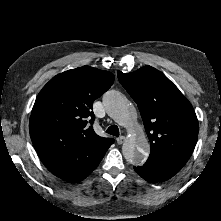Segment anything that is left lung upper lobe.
Returning <instances> with one entry per match:
<instances>
[{"label": "left lung upper lobe", "mask_w": 221, "mask_h": 221, "mask_svg": "<svg viewBox=\"0 0 221 221\" xmlns=\"http://www.w3.org/2000/svg\"><path fill=\"white\" fill-rule=\"evenodd\" d=\"M118 79L136 102L151 144L146 163L178 172L191 156L199 125L191 103L159 70L145 66Z\"/></svg>", "instance_id": "left-lung-upper-lobe-1"}]
</instances>
